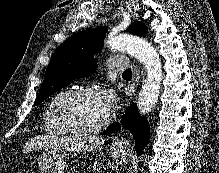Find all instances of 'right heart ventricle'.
Listing matches in <instances>:
<instances>
[{
    "label": "right heart ventricle",
    "instance_id": "obj_1",
    "mask_svg": "<svg viewBox=\"0 0 219 173\" xmlns=\"http://www.w3.org/2000/svg\"><path fill=\"white\" fill-rule=\"evenodd\" d=\"M69 90H62L51 97L43 112L44 130L53 135L65 136L70 132L63 127L59 120L58 109L62 99Z\"/></svg>",
    "mask_w": 219,
    "mask_h": 173
}]
</instances>
